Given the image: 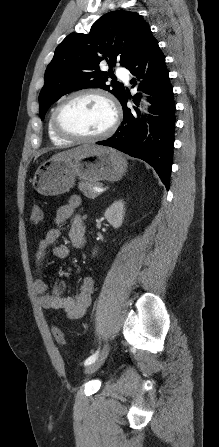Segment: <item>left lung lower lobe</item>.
<instances>
[{"instance_id":"1","label":"left lung lower lobe","mask_w":219,"mask_h":447,"mask_svg":"<svg viewBox=\"0 0 219 447\" xmlns=\"http://www.w3.org/2000/svg\"><path fill=\"white\" fill-rule=\"evenodd\" d=\"M137 79H143L138 90L150 95L151 105L147 123L140 119L138 108L127 107L129 94L125 92L120 102L124 119L116 133L107 140L96 144L116 148L132 157L146 161L158 173L162 182L169 188L172 167L175 103L165 65V56L158 41L151 34L125 66ZM134 79H132V83ZM136 95L134 103L138 104Z\"/></svg>"}]
</instances>
